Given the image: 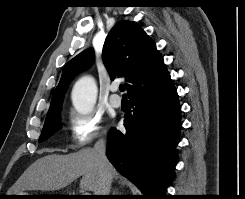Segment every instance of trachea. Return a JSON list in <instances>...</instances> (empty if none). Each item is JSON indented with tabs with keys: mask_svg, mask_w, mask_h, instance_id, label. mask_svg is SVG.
<instances>
[{
	"mask_svg": "<svg viewBox=\"0 0 245 199\" xmlns=\"http://www.w3.org/2000/svg\"><path fill=\"white\" fill-rule=\"evenodd\" d=\"M119 89H120L121 92H123V91L125 90L124 84H121V85L119 86Z\"/></svg>",
	"mask_w": 245,
	"mask_h": 199,
	"instance_id": "trachea-1",
	"label": "trachea"
}]
</instances>
